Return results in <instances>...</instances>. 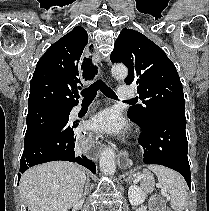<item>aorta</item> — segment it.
Instances as JSON below:
<instances>
[{"label":"aorta","instance_id":"1","mask_svg":"<svg viewBox=\"0 0 209 211\" xmlns=\"http://www.w3.org/2000/svg\"><path fill=\"white\" fill-rule=\"evenodd\" d=\"M111 73L116 79H125L128 75V69L123 64H117L112 67ZM99 165L104 174L113 175L115 173V153L112 148H106L103 150L100 155Z\"/></svg>","mask_w":209,"mask_h":211}]
</instances>
